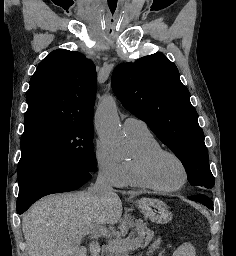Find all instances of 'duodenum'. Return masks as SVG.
I'll return each instance as SVG.
<instances>
[{"instance_id":"410a0bca","label":"duodenum","mask_w":236,"mask_h":256,"mask_svg":"<svg viewBox=\"0 0 236 256\" xmlns=\"http://www.w3.org/2000/svg\"><path fill=\"white\" fill-rule=\"evenodd\" d=\"M96 256H109L108 250L107 248L104 246L102 248H100L97 253Z\"/></svg>"}]
</instances>
